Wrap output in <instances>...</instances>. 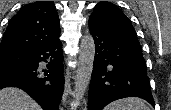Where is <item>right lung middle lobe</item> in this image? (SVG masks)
<instances>
[{
	"instance_id": "dd1d6c3e",
	"label": "right lung middle lobe",
	"mask_w": 171,
	"mask_h": 110,
	"mask_svg": "<svg viewBox=\"0 0 171 110\" xmlns=\"http://www.w3.org/2000/svg\"><path fill=\"white\" fill-rule=\"evenodd\" d=\"M30 55L27 52L0 53V71H6L29 61Z\"/></svg>"
}]
</instances>
